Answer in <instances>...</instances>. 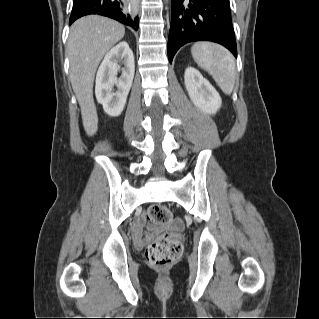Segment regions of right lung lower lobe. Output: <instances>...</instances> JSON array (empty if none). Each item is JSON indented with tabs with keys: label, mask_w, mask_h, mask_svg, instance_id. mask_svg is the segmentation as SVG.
I'll return each instance as SVG.
<instances>
[{
	"label": "right lung lower lobe",
	"mask_w": 319,
	"mask_h": 319,
	"mask_svg": "<svg viewBox=\"0 0 319 319\" xmlns=\"http://www.w3.org/2000/svg\"><path fill=\"white\" fill-rule=\"evenodd\" d=\"M122 7V0H74L69 22L71 25L82 16L98 14L115 19L131 26L134 30H138L139 19L136 17L133 20L129 14H124Z\"/></svg>",
	"instance_id": "obj_1"
}]
</instances>
